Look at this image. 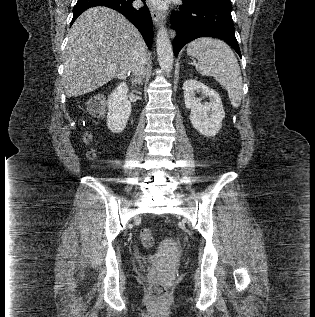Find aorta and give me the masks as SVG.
Returning a JSON list of instances; mask_svg holds the SVG:
<instances>
[{
  "label": "aorta",
  "instance_id": "1",
  "mask_svg": "<svg viewBox=\"0 0 315 317\" xmlns=\"http://www.w3.org/2000/svg\"><path fill=\"white\" fill-rule=\"evenodd\" d=\"M156 48L161 69L170 73L173 68V49L168 32L164 27H161L157 32Z\"/></svg>",
  "mask_w": 315,
  "mask_h": 317
}]
</instances>
